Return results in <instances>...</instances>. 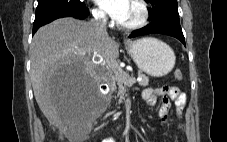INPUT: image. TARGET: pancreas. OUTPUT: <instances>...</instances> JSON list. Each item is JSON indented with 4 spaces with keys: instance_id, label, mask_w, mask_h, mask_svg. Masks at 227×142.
<instances>
[{
    "instance_id": "obj_1",
    "label": "pancreas",
    "mask_w": 227,
    "mask_h": 142,
    "mask_svg": "<svg viewBox=\"0 0 227 142\" xmlns=\"http://www.w3.org/2000/svg\"><path fill=\"white\" fill-rule=\"evenodd\" d=\"M138 76L141 78V81H139L140 86H147L149 84V77L143 74L141 71L138 73ZM114 80L116 81L118 85V93L117 96L119 97L118 103H122L125 98L127 97V89H126V84L120 80L116 74L114 76Z\"/></svg>"
}]
</instances>
